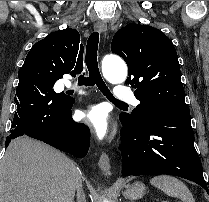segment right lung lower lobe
I'll return each mask as SVG.
<instances>
[{
  "instance_id": "obj_1",
  "label": "right lung lower lobe",
  "mask_w": 209,
  "mask_h": 202,
  "mask_svg": "<svg viewBox=\"0 0 209 202\" xmlns=\"http://www.w3.org/2000/svg\"><path fill=\"white\" fill-rule=\"evenodd\" d=\"M11 134L6 139L27 135L61 151L83 158L89 149L90 131L72 119L74 99L56 96L34 78L19 79Z\"/></svg>"
}]
</instances>
